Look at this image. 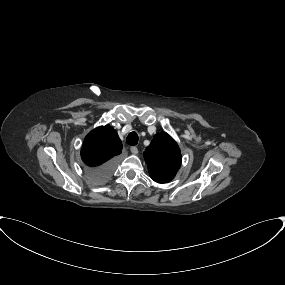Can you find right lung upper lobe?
<instances>
[{
    "mask_svg": "<svg viewBox=\"0 0 285 285\" xmlns=\"http://www.w3.org/2000/svg\"><path fill=\"white\" fill-rule=\"evenodd\" d=\"M121 150L122 143L117 132L111 126H100L86 136L81 157L87 166L96 168L114 159Z\"/></svg>",
    "mask_w": 285,
    "mask_h": 285,
    "instance_id": "obj_1",
    "label": "right lung upper lobe"
}]
</instances>
